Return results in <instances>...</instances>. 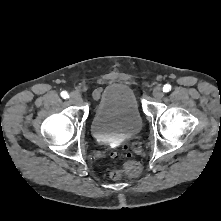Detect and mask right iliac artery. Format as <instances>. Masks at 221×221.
<instances>
[{"label": "right iliac artery", "mask_w": 221, "mask_h": 221, "mask_svg": "<svg viewBox=\"0 0 221 221\" xmlns=\"http://www.w3.org/2000/svg\"><path fill=\"white\" fill-rule=\"evenodd\" d=\"M61 97H63L64 99H66V98L69 97V95H68V93H67L66 91H62V92H61Z\"/></svg>", "instance_id": "82829eb1"}]
</instances>
